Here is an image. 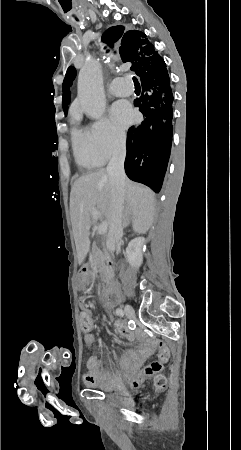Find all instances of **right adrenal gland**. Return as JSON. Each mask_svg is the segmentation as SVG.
<instances>
[{
	"mask_svg": "<svg viewBox=\"0 0 241 450\" xmlns=\"http://www.w3.org/2000/svg\"><path fill=\"white\" fill-rule=\"evenodd\" d=\"M128 224H130V216H125V218L123 220V228H126V226H128Z\"/></svg>",
	"mask_w": 241,
	"mask_h": 450,
	"instance_id": "obj_1",
	"label": "right adrenal gland"
}]
</instances>
